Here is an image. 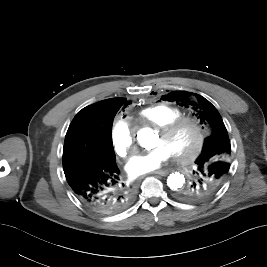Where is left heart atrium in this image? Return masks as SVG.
<instances>
[{
    "mask_svg": "<svg viewBox=\"0 0 267 267\" xmlns=\"http://www.w3.org/2000/svg\"><path fill=\"white\" fill-rule=\"evenodd\" d=\"M171 153L162 145L134 155L126 164V170L131 177H137L160 168L169 159Z\"/></svg>",
    "mask_w": 267,
    "mask_h": 267,
    "instance_id": "1",
    "label": "left heart atrium"
}]
</instances>
